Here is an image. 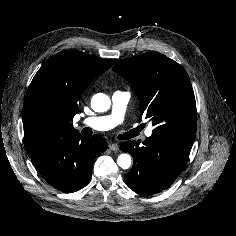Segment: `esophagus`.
<instances>
[{
	"instance_id": "1",
	"label": "esophagus",
	"mask_w": 236,
	"mask_h": 236,
	"mask_svg": "<svg viewBox=\"0 0 236 236\" xmlns=\"http://www.w3.org/2000/svg\"><path fill=\"white\" fill-rule=\"evenodd\" d=\"M108 147H109V149L112 150V151H117V150H119V145H118L117 143H114V142H113V143H110Z\"/></svg>"
}]
</instances>
